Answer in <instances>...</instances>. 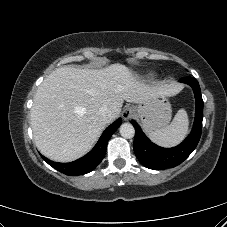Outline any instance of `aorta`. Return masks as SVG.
<instances>
[{
  "instance_id": "1",
  "label": "aorta",
  "mask_w": 227,
  "mask_h": 227,
  "mask_svg": "<svg viewBox=\"0 0 227 227\" xmlns=\"http://www.w3.org/2000/svg\"><path fill=\"white\" fill-rule=\"evenodd\" d=\"M120 134L123 138L130 139L135 134V129L130 123H123L120 126Z\"/></svg>"
}]
</instances>
